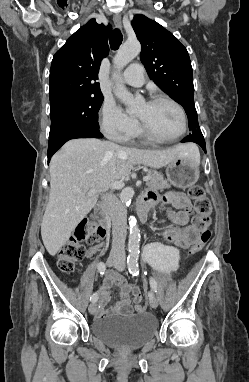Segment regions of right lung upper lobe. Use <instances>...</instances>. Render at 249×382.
I'll return each mask as SVG.
<instances>
[{
    "mask_svg": "<svg viewBox=\"0 0 249 382\" xmlns=\"http://www.w3.org/2000/svg\"><path fill=\"white\" fill-rule=\"evenodd\" d=\"M110 31V25L91 19L56 52L50 69V104L102 94L96 80L100 62L109 52Z\"/></svg>",
    "mask_w": 249,
    "mask_h": 382,
    "instance_id": "obj_1",
    "label": "right lung upper lobe"
}]
</instances>
